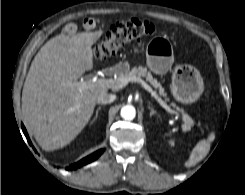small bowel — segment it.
I'll return each mask as SVG.
<instances>
[{"mask_svg": "<svg viewBox=\"0 0 245 195\" xmlns=\"http://www.w3.org/2000/svg\"><path fill=\"white\" fill-rule=\"evenodd\" d=\"M83 25L86 29H94L97 26V20L95 18H86L83 21ZM76 30L77 26L74 23H69L64 27L66 34H73Z\"/></svg>", "mask_w": 245, "mask_h": 195, "instance_id": "1", "label": "small bowel"}]
</instances>
